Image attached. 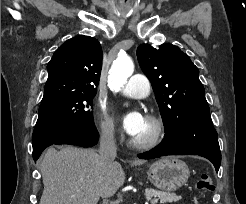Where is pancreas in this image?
Segmentation results:
<instances>
[{"label":"pancreas","mask_w":246,"mask_h":204,"mask_svg":"<svg viewBox=\"0 0 246 204\" xmlns=\"http://www.w3.org/2000/svg\"><path fill=\"white\" fill-rule=\"evenodd\" d=\"M145 195L147 199L152 197H158L161 203H171L177 202L181 200V196H177L174 193L166 192V191H158L154 189H146Z\"/></svg>","instance_id":"pancreas-1"}]
</instances>
